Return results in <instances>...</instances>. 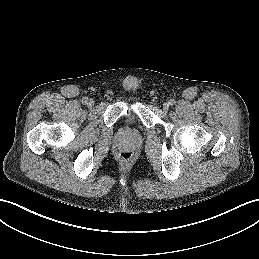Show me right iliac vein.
<instances>
[{
    "instance_id": "63e3f726",
    "label": "right iliac vein",
    "mask_w": 259,
    "mask_h": 259,
    "mask_svg": "<svg viewBox=\"0 0 259 259\" xmlns=\"http://www.w3.org/2000/svg\"><path fill=\"white\" fill-rule=\"evenodd\" d=\"M87 105H88L89 107H93V106H94V101L91 100V99L88 100Z\"/></svg>"
}]
</instances>
